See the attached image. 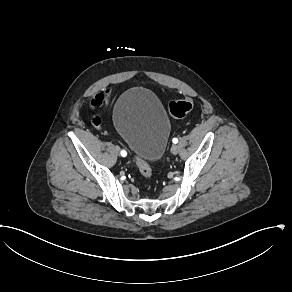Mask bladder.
<instances>
[{"label":"bladder","mask_w":292,"mask_h":292,"mask_svg":"<svg viewBox=\"0 0 292 292\" xmlns=\"http://www.w3.org/2000/svg\"><path fill=\"white\" fill-rule=\"evenodd\" d=\"M112 121L136 157L150 163L162 157L171 126L153 91L144 87L126 90L114 105Z\"/></svg>","instance_id":"obj_1"}]
</instances>
